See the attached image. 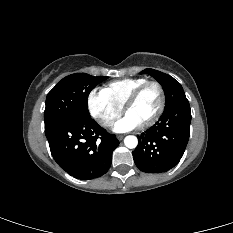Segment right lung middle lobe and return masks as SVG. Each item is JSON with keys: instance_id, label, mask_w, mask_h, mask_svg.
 Returning a JSON list of instances; mask_svg holds the SVG:
<instances>
[{"instance_id": "obj_1", "label": "right lung middle lobe", "mask_w": 233, "mask_h": 233, "mask_svg": "<svg viewBox=\"0 0 233 233\" xmlns=\"http://www.w3.org/2000/svg\"><path fill=\"white\" fill-rule=\"evenodd\" d=\"M107 78L75 73L59 81L46 98L45 127L65 119L90 115L88 96L97 84Z\"/></svg>"}]
</instances>
